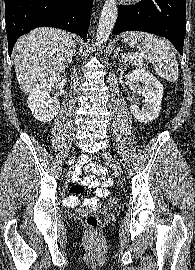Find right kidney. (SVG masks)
Wrapping results in <instances>:
<instances>
[{
	"label": "right kidney",
	"instance_id": "obj_1",
	"mask_svg": "<svg viewBox=\"0 0 195 270\" xmlns=\"http://www.w3.org/2000/svg\"><path fill=\"white\" fill-rule=\"evenodd\" d=\"M65 83V78L54 76L40 83L34 91L30 93L27 103L36 120L49 122L58 114L60 103L57 99V95H59V92L54 98H50L49 91L52 87L61 91Z\"/></svg>",
	"mask_w": 195,
	"mask_h": 270
}]
</instances>
